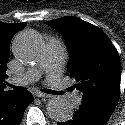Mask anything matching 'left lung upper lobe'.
<instances>
[{"instance_id": "1", "label": "left lung upper lobe", "mask_w": 125, "mask_h": 125, "mask_svg": "<svg viewBox=\"0 0 125 125\" xmlns=\"http://www.w3.org/2000/svg\"><path fill=\"white\" fill-rule=\"evenodd\" d=\"M59 30L70 53L73 87L83 93L81 105L114 111L120 96L121 63L107 35L98 27L68 16L48 21Z\"/></svg>"}]
</instances>
